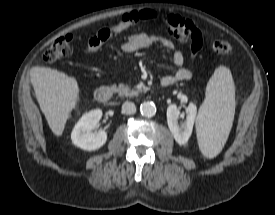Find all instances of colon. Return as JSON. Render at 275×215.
Returning a JSON list of instances; mask_svg holds the SVG:
<instances>
[{"instance_id": "colon-1", "label": "colon", "mask_w": 275, "mask_h": 215, "mask_svg": "<svg viewBox=\"0 0 275 215\" xmlns=\"http://www.w3.org/2000/svg\"><path fill=\"white\" fill-rule=\"evenodd\" d=\"M156 18V14L151 11L134 12L123 16V22L131 26H139L143 23L152 21ZM164 22L168 27L171 35L179 41H187L193 39L197 34V26L190 20L179 16L171 15L164 18ZM74 40L73 35L63 36L54 41L44 53L46 62H55L64 58L70 50V45ZM212 51L218 54H230L232 52L231 45L224 40H214L210 43Z\"/></svg>"}]
</instances>
